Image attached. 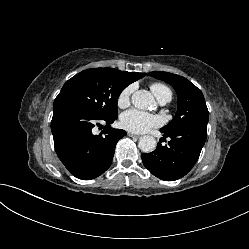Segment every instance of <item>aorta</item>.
I'll return each mask as SVG.
<instances>
[{
    "instance_id": "762f6f07",
    "label": "aorta",
    "mask_w": 249,
    "mask_h": 249,
    "mask_svg": "<svg viewBox=\"0 0 249 249\" xmlns=\"http://www.w3.org/2000/svg\"><path fill=\"white\" fill-rule=\"evenodd\" d=\"M132 103L139 109H149L155 104L154 97L147 90H138L132 95ZM157 142L154 137L145 135L140 138L138 147L145 153L155 150Z\"/></svg>"
}]
</instances>
